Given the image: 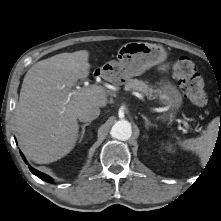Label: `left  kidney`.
I'll list each match as a JSON object with an SVG mask.
<instances>
[{
    "mask_svg": "<svg viewBox=\"0 0 221 221\" xmlns=\"http://www.w3.org/2000/svg\"><path fill=\"white\" fill-rule=\"evenodd\" d=\"M166 149L171 152V151H173V146L171 144H168L166 146Z\"/></svg>",
    "mask_w": 221,
    "mask_h": 221,
    "instance_id": "obj_1",
    "label": "left kidney"
}]
</instances>
